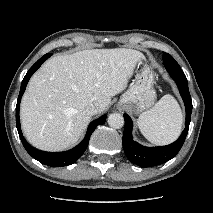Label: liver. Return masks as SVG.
<instances>
[{
	"instance_id": "liver-1",
	"label": "liver",
	"mask_w": 213,
	"mask_h": 213,
	"mask_svg": "<svg viewBox=\"0 0 213 213\" xmlns=\"http://www.w3.org/2000/svg\"><path fill=\"white\" fill-rule=\"evenodd\" d=\"M141 52L92 49L55 56L32 76L22 98L20 117L26 139L44 151H61L78 142L95 103L103 112L111 97L122 92Z\"/></svg>"
}]
</instances>
